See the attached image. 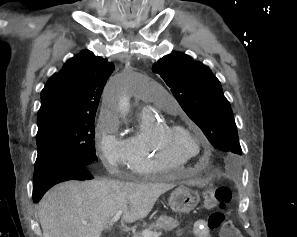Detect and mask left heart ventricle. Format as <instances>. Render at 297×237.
<instances>
[{
	"mask_svg": "<svg viewBox=\"0 0 297 237\" xmlns=\"http://www.w3.org/2000/svg\"><path fill=\"white\" fill-rule=\"evenodd\" d=\"M172 145L186 156L196 155L198 152V145L196 141L181 133H176L171 137Z\"/></svg>",
	"mask_w": 297,
	"mask_h": 237,
	"instance_id": "b2bd125f",
	"label": "left heart ventricle"
}]
</instances>
